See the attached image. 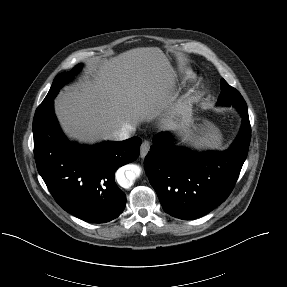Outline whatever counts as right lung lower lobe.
Here are the masks:
<instances>
[{
    "instance_id": "98d812e1",
    "label": "right lung lower lobe",
    "mask_w": 287,
    "mask_h": 287,
    "mask_svg": "<svg viewBox=\"0 0 287 287\" xmlns=\"http://www.w3.org/2000/svg\"><path fill=\"white\" fill-rule=\"evenodd\" d=\"M43 101L33 119L37 169L56 202L68 213L92 223L109 222L124 210L126 196L115 183V170L137 159L141 139L93 146L69 142L53 111Z\"/></svg>"
}]
</instances>
